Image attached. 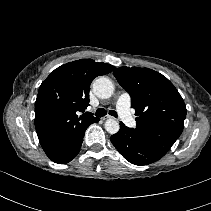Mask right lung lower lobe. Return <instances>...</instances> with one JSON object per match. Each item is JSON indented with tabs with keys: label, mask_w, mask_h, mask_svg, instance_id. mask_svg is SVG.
<instances>
[{
	"label": "right lung lower lobe",
	"mask_w": 211,
	"mask_h": 211,
	"mask_svg": "<svg viewBox=\"0 0 211 211\" xmlns=\"http://www.w3.org/2000/svg\"><path fill=\"white\" fill-rule=\"evenodd\" d=\"M86 128L87 127L77 130L74 135H72V137L67 141L66 144H64L59 150L47 154V156L53 162L58 164L70 162L80 151Z\"/></svg>",
	"instance_id": "1"
}]
</instances>
